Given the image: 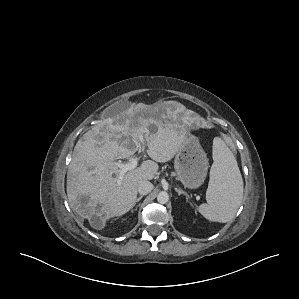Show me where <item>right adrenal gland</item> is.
I'll return each instance as SVG.
<instances>
[{
    "label": "right adrenal gland",
    "mask_w": 299,
    "mask_h": 299,
    "mask_svg": "<svg viewBox=\"0 0 299 299\" xmlns=\"http://www.w3.org/2000/svg\"><path fill=\"white\" fill-rule=\"evenodd\" d=\"M143 198V195L139 196L136 201H135V204H137L141 199ZM133 211V210H132Z\"/></svg>",
    "instance_id": "obj_1"
}]
</instances>
